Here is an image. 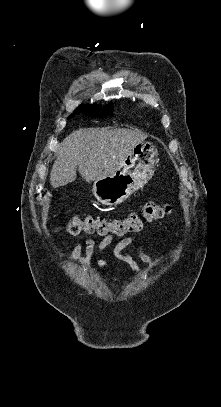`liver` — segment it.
<instances>
[{
	"label": "liver",
	"instance_id": "obj_1",
	"mask_svg": "<svg viewBox=\"0 0 221 407\" xmlns=\"http://www.w3.org/2000/svg\"><path fill=\"white\" fill-rule=\"evenodd\" d=\"M147 138L141 130L85 128L73 131L61 143L50 173L53 188L80 176L87 182L113 173L132 148Z\"/></svg>",
	"mask_w": 221,
	"mask_h": 407
}]
</instances>
